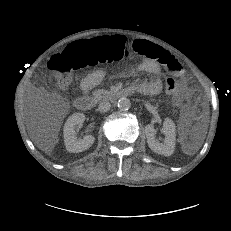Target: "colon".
Returning <instances> with one entry per match:
<instances>
[{
	"instance_id": "colon-1",
	"label": "colon",
	"mask_w": 231,
	"mask_h": 231,
	"mask_svg": "<svg viewBox=\"0 0 231 231\" xmlns=\"http://www.w3.org/2000/svg\"><path fill=\"white\" fill-rule=\"evenodd\" d=\"M129 41L119 35L106 36L87 42L69 45L62 54L55 55L49 61V68L54 74V81L59 89H66L72 82V72L98 63L118 62L130 57ZM164 61V58L161 62ZM166 91L176 94L178 82L169 77L165 82Z\"/></svg>"
}]
</instances>
